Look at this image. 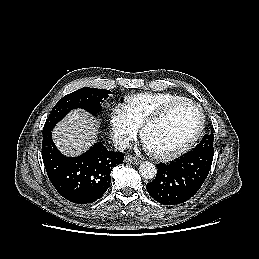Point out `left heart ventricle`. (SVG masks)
Masks as SVG:
<instances>
[{
	"mask_svg": "<svg viewBox=\"0 0 259 259\" xmlns=\"http://www.w3.org/2000/svg\"><path fill=\"white\" fill-rule=\"evenodd\" d=\"M199 121L200 114L194 106H179L147 129L144 142L151 151L172 150L192 136Z\"/></svg>",
	"mask_w": 259,
	"mask_h": 259,
	"instance_id": "obj_1",
	"label": "left heart ventricle"
}]
</instances>
